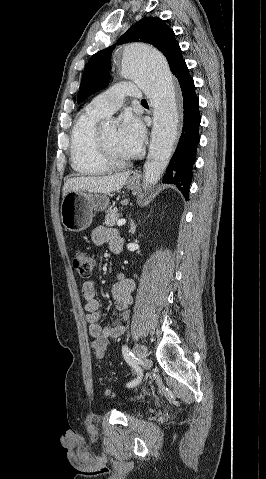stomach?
<instances>
[{
    "instance_id": "obj_1",
    "label": "stomach",
    "mask_w": 266,
    "mask_h": 479,
    "mask_svg": "<svg viewBox=\"0 0 266 479\" xmlns=\"http://www.w3.org/2000/svg\"><path fill=\"white\" fill-rule=\"evenodd\" d=\"M127 186L137 190L138 182L129 180ZM109 206V198L104 193L68 192L61 203V220L66 230L80 232L87 229L93 220V213L104 211Z\"/></svg>"
}]
</instances>
